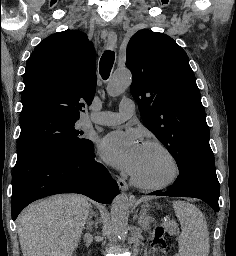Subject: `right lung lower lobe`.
Listing matches in <instances>:
<instances>
[{"label": "right lung lower lobe", "instance_id": "98d812e1", "mask_svg": "<svg viewBox=\"0 0 236 256\" xmlns=\"http://www.w3.org/2000/svg\"><path fill=\"white\" fill-rule=\"evenodd\" d=\"M12 219L31 202L59 193H81L100 203L119 194L116 181L95 160L93 143L81 150L51 148L17 160L12 176Z\"/></svg>", "mask_w": 236, "mask_h": 256}]
</instances>
